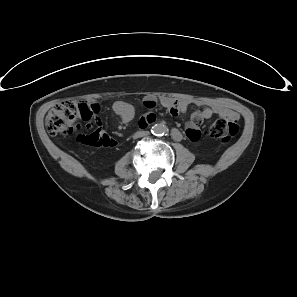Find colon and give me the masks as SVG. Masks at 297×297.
<instances>
[{"label":"colon","instance_id":"5ec220e1","mask_svg":"<svg viewBox=\"0 0 297 297\" xmlns=\"http://www.w3.org/2000/svg\"><path fill=\"white\" fill-rule=\"evenodd\" d=\"M99 106L86 101H64L57 104L47 115L46 128L51 135H70L80 128V122L88 128L93 127L97 121ZM239 131L235 117H221L209 128L210 137L222 142H228ZM201 136V133H200ZM79 141L96 147H112L114 139L100 129L89 135L79 136Z\"/></svg>","mask_w":297,"mask_h":297}]
</instances>
